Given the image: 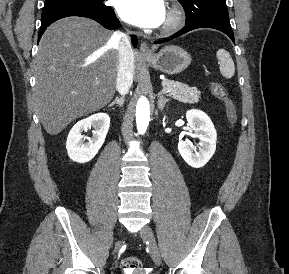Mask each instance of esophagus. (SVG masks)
<instances>
[{
    "instance_id": "34e87169",
    "label": "esophagus",
    "mask_w": 289,
    "mask_h": 274,
    "mask_svg": "<svg viewBox=\"0 0 289 274\" xmlns=\"http://www.w3.org/2000/svg\"><path fill=\"white\" fill-rule=\"evenodd\" d=\"M140 52L143 56H151L153 54L152 50L150 49V47L146 42H141Z\"/></svg>"
}]
</instances>
